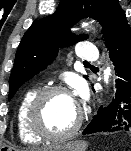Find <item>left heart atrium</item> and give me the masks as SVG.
<instances>
[{"instance_id": "39dd6f15", "label": "left heart atrium", "mask_w": 131, "mask_h": 151, "mask_svg": "<svg viewBox=\"0 0 131 151\" xmlns=\"http://www.w3.org/2000/svg\"><path fill=\"white\" fill-rule=\"evenodd\" d=\"M78 92L81 98H85V91L83 88H80Z\"/></svg>"}]
</instances>
